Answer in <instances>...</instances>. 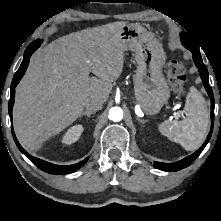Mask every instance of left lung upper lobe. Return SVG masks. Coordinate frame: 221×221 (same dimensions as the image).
<instances>
[{
	"label": "left lung upper lobe",
	"instance_id": "obj_1",
	"mask_svg": "<svg viewBox=\"0 0 221 221\" xmlns=\"http://www.w3.org/2000/svg\"><path fill=\"white\" fill-rule=\"evenodd\" d=\"M180 36H181L182 43L185 47L190 49L192 53H196L200 55L199 46L188 33L182 32Z\"/></svg>",
	"mask_w": 221,
	"mask_h": 221
}]
</instances>
